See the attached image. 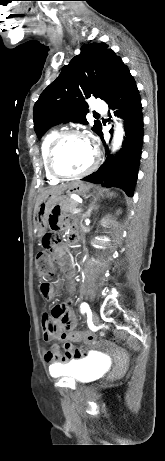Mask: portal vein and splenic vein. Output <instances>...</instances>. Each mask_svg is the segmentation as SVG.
Listing matches in <instances>:
<instances>
[{"label": "portal vein and splenic vein", "mask_w": 165, "mask_h": 461, "mask_svg": "<svg viewBox=\"0 0 165 461\" xmlns=\"http://www.w3.org/2000/svg\"><path fill=\"white\" fill-rule=\"evenodd\" d=\"M76 200H77L78 202H80V203L82 202L80 199H76ZM80 211H81V209H74V210L72 211V213H77V212H80Z\"/></svg>", "instance_id": "obj_1"}]
</instances>
